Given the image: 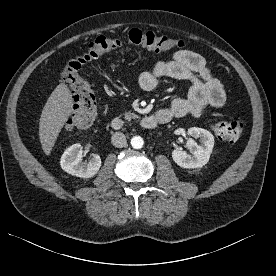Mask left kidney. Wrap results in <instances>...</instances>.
I'll return each mask as SVG.
<instances>
[{"instance_id": "obj_1", "label": "left kidney", "mask_w": 276, "mask_h": 276, "mask_svg": "<svg viewBox=\"0 0 276 276\" xmlns=\"http://www.w3.org/2000/svg\"><path fill=\"white\" fill-rule=\"evenodd\" d=\"M188 136L200 138L201 144L198 145L195 140L189 138L186 142L187 148L192 155L185 151L175 149L172 151V158L174 162L183 168H200L209 161L210 154L214 147V136L207 130L191 127L187 131Z\"/></svg>"}]
</instances>
